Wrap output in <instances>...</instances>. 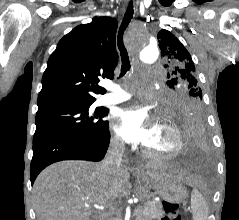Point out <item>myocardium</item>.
I'll use <instances>...</instances> for the list:
<instances>
[{"label":"myocardium","mask_w":239,"mask_h":220,"mask_svg":"<svg viewBox=\"0 0 239 220\" xmlns=\"http://www.w3.org/2000/svg\"><path fill=\"white\" fill-rule=\"evenodd\" d=\"M162 124L172 133L174 137L173 147L169 151H161L151 149L145 145L143 152L150 157L159 159H171L177 157L183 152L185 147L182 131L170 118H163Z\"/></svg>","instance_id":"f54148a6"}]
</instances>
